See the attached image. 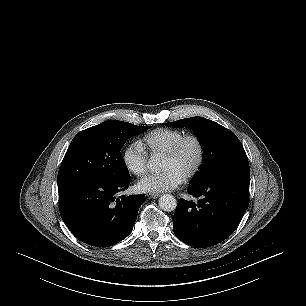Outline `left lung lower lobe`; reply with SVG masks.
Returning a JSON list of instances; mask_svg holds the SVG:
<instances>
[{
	"mask_svg": "<svg viewBox=\"0 0 306 306\" xmlns=\"http://www.w3.org/2000/svg\"><path fill=\"white\" fill-rule=\"evenodd\" d=\"M249 183L250 173H228L191 184L188 193L200 200H179L172 218L177 238L201 248L225 240L248 208Z\"/></svg>",
	"mask_w": 306,
	"mask_h": 306,
	"instance_id": "0a47b994",
	"label": "left lung lower lobe"
}]
</instances>
